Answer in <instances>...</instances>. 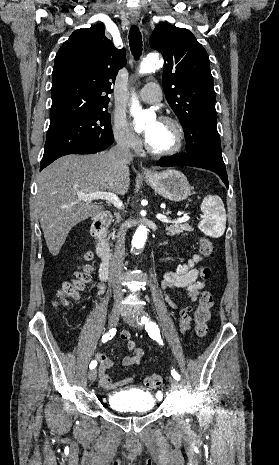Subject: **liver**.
<instances>
[{"instance_id":"6515ba94","label":"liver","mask_w":279,"mask_h":465,"mask_svg":"<svg viewBox=\"0 0 279 465\" xmlns=\"http://www.w3.org/2000/svg\"><path fill=\"white\" fill-rule=\"evenodd\" d=\"M129 162L116 164L107 153L66 155L38 176L36 211L50 253L57 256L78 223L97 216L103 206L80 194L111 192L125 195L130 185Z\"/></svg>"}]
</instances>
